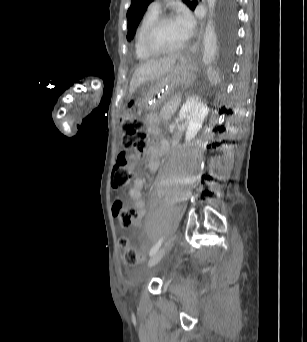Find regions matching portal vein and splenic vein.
Listing matches in <instances>:
<instances>
[{"mask_svg": "<svg viewBox=\"0 0 307 342\" xmlns=\"http://www.w3.org/2000/svg\"><path fill=\"white\" fill-rule=\"evenodd\" d=\"M172 107L175 109V108H177L178 106L174 104Z\"/></svg>", "mask_w": 307, "mask_h": 342, "instance_id": "18ae733b", "label": "portal vein and splenic vein"}]
</instances>
